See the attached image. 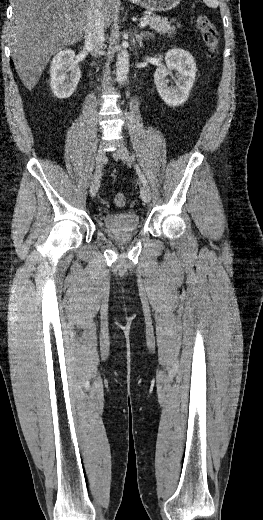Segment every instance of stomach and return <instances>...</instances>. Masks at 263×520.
Here are the masks:
<instances>
[{"mask_svg":"<svg viewBox=\"0 0 263 520\" xmlns=\"http://www.w3.org/2000/svg\"><path fill=\"white\" fill-rule=\"evenodd\" d=\"M148 11L166 12L177 7L181 0H129Z\"/></svg>","mask_w":263,"mask_h":520,"instance_id":"obj_1","label":"stomach"}]
</instances>
